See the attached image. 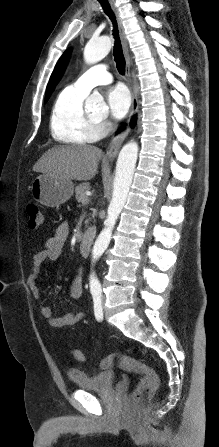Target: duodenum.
Segmentation results:
<instances>
[{
	"mask_svg": "<svg viewBox=\"0 0 219 447\" xmlns=\"http://www.w3.org/2000/svg\"><path fill=\"white\" fill-rule=\"evenodd\" d=\"M93 238H94V229L93 228L86 229L79 243L80 253L83 257L89 256Z\"/></svg>",
	"mask_w": 219,
	"mask_h": 447,
	"instance_id": "obj_1",
	"label": "duodenum"
}]
</instances>
